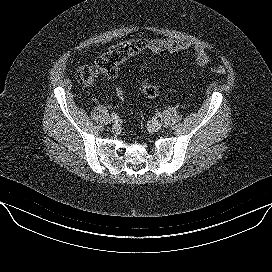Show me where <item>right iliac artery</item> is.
Returning <instances> with one entry per match:
<instances>
[{"instance_id":"obj_1","label":"right iliac artery","mask_w":272,"mask_h":272,"mask_svg":"<svg viewBox=\"0 0 272 272\" xmlns=\"http://www.w3.org/2000/svg\"><path fill=\"white\" fill-rule=\"evenodd\" d=\"M111 117H112V118H116V117H118V115H117V113H114V112H113V113L111 114Z\"/></svg>"}]
</instances>
